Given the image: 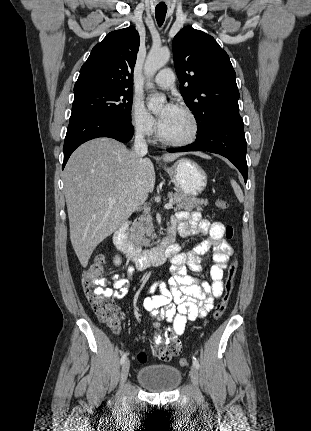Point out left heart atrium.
Here are the masks:
<instances>
[{"label":"left heart atrium","instance_id":"39dd6f15","mask_svg":"<svg viewBox=\"0 0 311 431\" xmlns=\"http://www.w3.org/2000/svg\"><path fill=\"white\" fill-rule=\"evenodd\" d=\"M178 105L171 100L167 103V105L163 108V110L158 115V121L160 126L167 123V121L178 111Z\"/></svg>","mask_w":311,"mask_h":431}]
</instances>
